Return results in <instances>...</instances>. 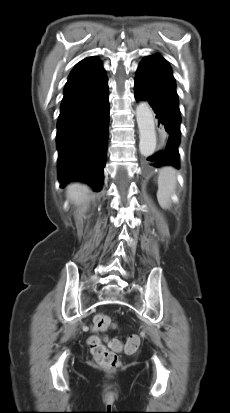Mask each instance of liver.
Here are the masks:
<instances>
[{
  "instance_id": "liver-1",
  "label": "liver",
  "mask_w": 230,
  "mask_h": 413,
  "mask_svg": "<svg viewBox=\"0 0 230 413\" xmlns=\"http://www.w3.org/2000/svg\"><path fill=\"white\" fill-rule=\"evenodd\" d=\"M89 194V188L80 183H72L67 187V197L77 205L86 204L90 199Z\"/></svg>"
}]
</instances>
